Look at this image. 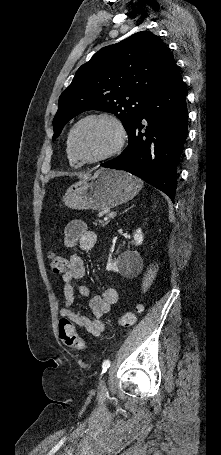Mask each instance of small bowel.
<instances>
[{
  "label": "small bowel",
  "instance_id": "1",
  "mask_svg": "<svg viewBox=\"0 0 221 455\" xmlns=\"http://www.w3.org/2000/svg\"><path fill=\"white\" fill-rule=\"evenodd\" d=\"M97 235L89 230L81 221L69 223L64 231V244L67 248L73 249L79 247L82 250H90L97 243ZM69 269L63 274V296L65 306L61 308L60 315L68 318L81 329L87 331L95 337H100L105 331V324L101 318L110 311V308L118 300V292L114 287H107L101 295H95L91 298L89 306L91 317H87L76 311L73 306L76 300V294L87 297L90 294L89 288L80 283V280L86 274V266L83 259L76 255L69 256Z\"/></svg>",
  "mask_w": 221,
  "mask_h": 455
}]
</instances>
